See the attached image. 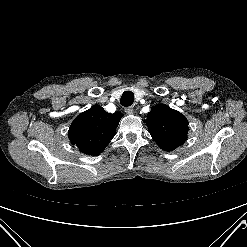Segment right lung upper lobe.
Instances as JSON below:
<instances>
[{
    "mask_svg": "<svg viewBox=\"0 0 247 247\" xmlns=\"http://www.w3.org/2000/svg\"><path fill=\"white\" fill-rule=\"evenodd\" d=\"M122 116V113L109 114L101 106L94 105L74 119L68 137L81 152L99 155L114 137Z\"/></svg>",
    "mask_w": 247,
    "mask_h": 247,
    "instance_id": "obj_1",
    "label": "right lung upper lobe"
}]
</instances>
